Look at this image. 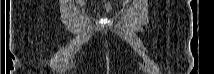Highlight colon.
Listing matches in <instances>:
<instances>
[{
    "label": "colon",
    "instance_id": "colon-1",
    "mask_svg": "<svg viewBox=\"0 0 214 74\" xmlns=\"http://www.w3.org/2000/svg\"><path fill=\"white\" fill-rule=\"evenodd\" d=\"M105 10L106 11L110 10V4L108 2H105Z\"/></svg>",
    "mask_w": 214,
    "mask_h": 74
}]
</instances>
